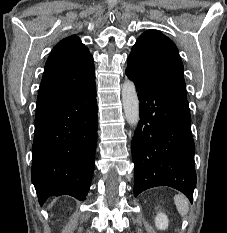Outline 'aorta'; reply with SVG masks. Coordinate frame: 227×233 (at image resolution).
I'll list each match as a JSON object with an SVG mask.
<instances>
[{
    "label": "aorta",
    "mask_w": 227,
    "mask_h": 233,
    "mask_svg": "<svg viewBox=\"0 0 227 233\" xmlns=\"http://www.w3.org/2000/svg\"><path fill=\"white\" fill-rule=\"evenodd\" d=\"M122 103L127 122L137 126L140 120L139 100L135 84L130 80H126L122 86Z\"/></svg>",
    "instance_id": "aorta-1"
}]
</instances>
